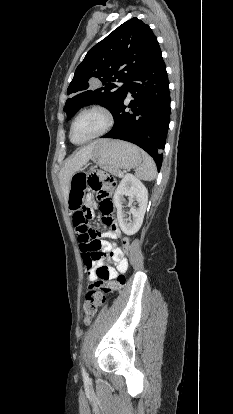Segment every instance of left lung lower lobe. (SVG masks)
Masks as SVG:
<instances>
[{"mask_svg":"<svg viewBox=\"0 0 233 414\" xmlns=\"http://www.w3.org/2000/svg\"><path fill=\"white\" fill-rule=\"evenodd\" d=\"M129 90L134 100L128 106L124 105L126 90L112 112L114 127L103 137L136 144L153 157L159 170L163 158L161 151L165 146L170 121L169 81L161 50L131 81ZM127 107L132 113L125 111Z\"/></svg>","mask_w":233,"mask_h":414,"instance_id":"0a47b994","label":"left lung lower lobe"}]
</instances>
